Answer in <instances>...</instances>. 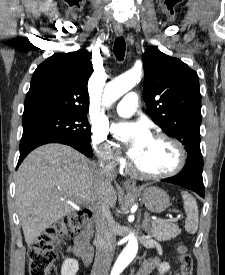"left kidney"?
<instances>
[{
	"instance_id": "obj_1",
	"label": "left kidney",
	"mask_w": 225,
	"mask_h": 275,
	"mask_svg": "<svg viewBox=\"0 0 225 275\" xmlns=\"http://www.w3.org/2000/svg\"><path fill=\"white\" fill-rule=\"evenodd\" d=\"M169 269H170V266L167 262L160 264V268H159L160 272H165V271H168Z\"/></svg>"
}]
</instances>
